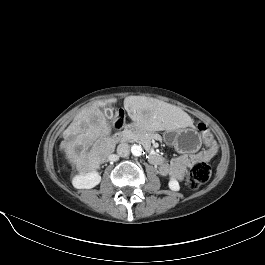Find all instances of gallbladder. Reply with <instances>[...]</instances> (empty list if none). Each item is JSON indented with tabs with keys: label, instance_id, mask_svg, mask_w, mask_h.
<instances>
[{
	"label": "gallbladder",
	"instance_id": "gallbladder-1",
	"mask_svg": "<svg viewBox=\"0 0 265 265\" xmlns=\"http://www.w3.org/2000/svg\"><path fill=\"white\" fill-rule=\"evenodd\" d=\"M106 116L111 119L113 117V111L112 109L108 108L106 109Z\"/></svg>",
	"mask_w": 265,
	"mask_h": 265
}]
</instances>
